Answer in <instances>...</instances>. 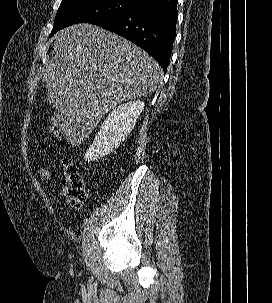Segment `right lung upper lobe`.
Returning a JSON list of instances; mask_svg holds the SVG:
<instances>
[{"mask_svg": "<svg viewBox=\"0 0 272 303\" xmlns=\"http://www.w3.org/2000/svg\"><path fill=\"white\" fill-rule=\"evenodd\" d=\"M134 1L139 5V4H142V3H144L148 0H134Z\"/></svg>", "mask_w": 272, "mask_h": 303, "instance_id": "obj_1", "label": "right lung upper lobe"}]
</instances>
